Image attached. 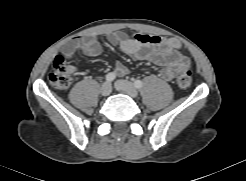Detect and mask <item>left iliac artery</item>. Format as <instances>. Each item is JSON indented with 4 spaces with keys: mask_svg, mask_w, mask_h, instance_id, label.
Instances as JSON below:
<instances>
[{
    "mask_svg": "<svg viewBox=\"0 0 246 181\" xmlns=\"http://www.w3.org/2000/svg\"><path fill=\"white\" fill-rule=\"evenodd\" d=\"M142 85H143V82H142L141 80H136V81L134 82V86H135L136 88H141Z\"/></svg>",
    "mask_w": 246,
    "mask_h": 181,
    "instance_id": "obj_1",
    "label": "left iliac artery"
}]
</instances>
